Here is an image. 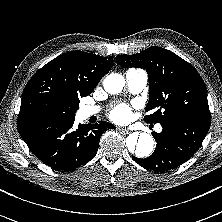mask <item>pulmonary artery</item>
I'll return each mask as SVG.
<instances>
[{"mask_svg":"<svg viewBox=\"0 0 222 222\" xmlns=\"http://www.w3.org/2000/svg\"><path fill=\"white\" fill-rule=\"evenodd\" d=\"M125 78L129 91L135 94L141 92L148 81L147 72L135 68L129 69L125 74ZM99 111L98 106H85L82 108V112L86 117L97 114ZM157 131H161V126L157 127Z\"/></svg>","mask_w":222,"mask_h":222,"instance_id":"obj_1","label":"pulmonary artery"}]
</instances>
